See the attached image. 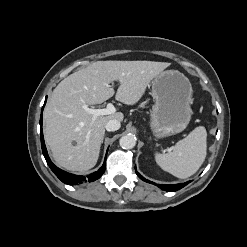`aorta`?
<instances>
[{"mask_svg":"<svg viewBox=\"0 0 247 247\" xmlns=\"http://www.w3.org/2000/svg\"><path fill=\"white\" fill-rule=\"evenodd\" d=\"M119 144L123 149H132L136 145V137L132 134L124 135L120 138Z\"/></svg>","mask_w":247,"mask_h":247,"instance_id":"aorta-1","label":"aorta"}]
</instances>
